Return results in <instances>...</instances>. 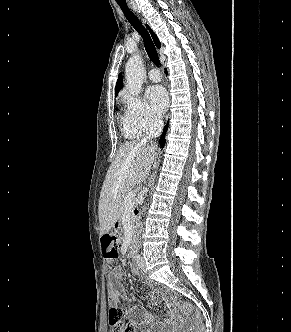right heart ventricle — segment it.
Masks as SVG:
<instances>
[{
    "mask_svg": "<svg viewBox=\"0 0 291 332\" xmlns=\"http://www.w3.org/2000/svg\"><path fill=\"white\" fill-rule=\"evenodd\" d=\"M123 132L127 138L131 139L138 138L141 135L140 132H138L136 129H134L128 124L126 116L123 119Z\"/></svg>",
    "mask_w": 291,
    "mask_h": 332,
    "instance_id": "1",
    "label": "right heart ventricle"
}]
</instances>
